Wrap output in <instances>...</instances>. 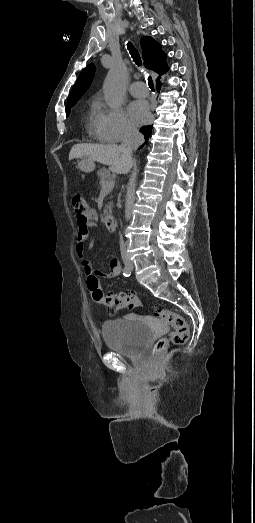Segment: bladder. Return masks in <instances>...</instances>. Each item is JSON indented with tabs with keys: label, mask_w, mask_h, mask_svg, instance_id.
Here are the masks:
<instances>
[{
	"label": "bladder",
	"mask_w": 255,
	"mask_h": 523,
	"mask_svg": "<svg viewBox=\"0 0 255 523\" xmlns=\"http://www.w3.org/2000/svg\"><path fill=\"white\" fill-rule=\"evenodd\" d=\"M126 321H133L127 324ZM102 334L106 346L111 350L124 354L135 355L147 345L152 337L151 328L140 320L127 318L112 320L102 324Z\"/></svg>",
	"instance_id": "obj_1"
}]
</instances>
